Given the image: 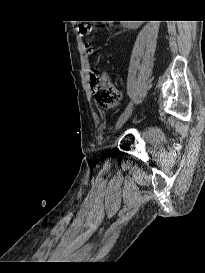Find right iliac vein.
I'll return each instance as SVG.
<instances>
[{"label":"right iliac vein","mask_w":205,"mask_h":273,"mask_svg":"<svg viewBox=\"0 0 205 273\" xmlns=\"http://www.w3.org/2000/svg\"><path fill=\"white\" fill-rule=\"evenodd\" d=\"M132 111L133 109L130 108L127 111H124L121 116L118 118L116 125H115V131H118L119 129H121L123 127V125L127 122V120L130 118V116L132 115Z\"/></svg>","instance_id":"63e3f726"}]
</instances>
